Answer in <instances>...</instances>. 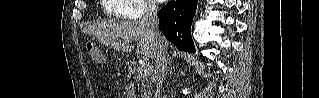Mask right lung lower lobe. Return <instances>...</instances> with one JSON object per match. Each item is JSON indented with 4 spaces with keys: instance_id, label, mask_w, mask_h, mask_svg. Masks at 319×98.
<instances>
[{
    "instance_id": "1",
    "label": "right lung lower lobe",
    "mask_w": 319,
    "mask_h": 98,
    "mask_svg": "<svg viewBox=\"0 0 319 98\" xmlns=\"http://www.w3.org/2000/svg\"><path fill=\"white\" fill-rule=\"evenodd\" d=\"M196 8L197 0H174L158 12L159 28L181 51L195 52L191 24Z\"/></svg>"
}]
</instances>
